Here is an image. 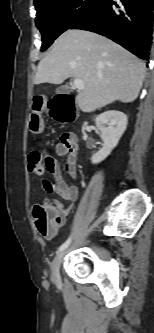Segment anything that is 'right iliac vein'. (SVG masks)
<instances>
[{
    "instance_id": "1",
    "label": "right iliac vein",
    "mask_w": 154,
    "mask_h": 333,
    "mask_svg": "<svg viewBox=\"0 0 154 333\" xmlns=\"http://www.w3.org/2000/svg\"><path fill=\"white\" fill-rule=\"evenodd\" d=\"M65 253H66V250L59 251L51 263V266H50L51 277H52V280L55 282H57L59 280L60 265H61V262H62V259L65 255Z\"/></svg>"
}]
</instances>
